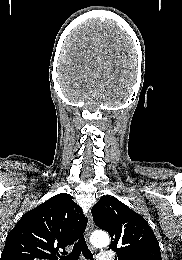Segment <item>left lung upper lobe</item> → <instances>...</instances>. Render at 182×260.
<instances>
[{
    "label": "left lung upper lobe",
    "mask_w": 182,
    "mask_h": 260,
    "mask_svg": "<svg viewBox=\"0 0 182 260\" xmlns=\"http://www.w3.org/2000/svg\"><path fill=\"white\" fill-rule=\"evenodd\" d=\"M94 222L108 231L115 260H162L159 243L147 221L112 196L92 208Z\"/></svg>",
    "instance_id": "5c2ea615"
}]
</instances>
